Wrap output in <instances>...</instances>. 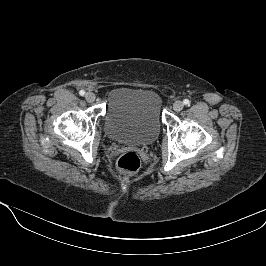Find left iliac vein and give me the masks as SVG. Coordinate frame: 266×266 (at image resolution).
Segmentation results:
<instances>
[{
    "label": "left iliac vein",
    "mask_w": 266,
    "mask_h": 266,
    "mask_svg": "<svg viewBox=\"0 0 266 266\" xmlns=\"http://www.w3.org/2000/svg\"><path fill=\"white\" fill-rule=\"evenodd\" d=\"M184 107V104L182 101H176L174 104H173V109L176 111V112H180Z\"/></svg>",
    "instance_id": "obj_1"
}]
</instances>
